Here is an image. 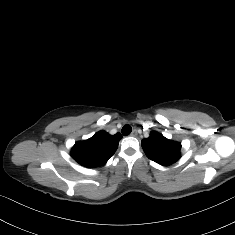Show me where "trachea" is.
I'll return each mask as SVG.
<instances>
[{
  "mask_svg": "<svg viewBox=\"0 0 235 235\" xmlns=\"http://www.w3.org/2000/svg\"><path fill=\"white\" fill-rule=\"evenodd\" d=\"M132 131V127L130 125H125L123 128H122V134L124 136L126 135H129Z\"/></svg>",
  "mask_w": 235,
  "mask_h": 235,
  "instance_id": "obj_1",
  "label": "trachea"
}]
</instances>
